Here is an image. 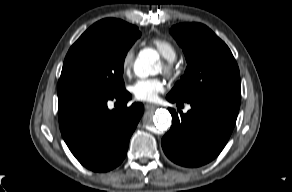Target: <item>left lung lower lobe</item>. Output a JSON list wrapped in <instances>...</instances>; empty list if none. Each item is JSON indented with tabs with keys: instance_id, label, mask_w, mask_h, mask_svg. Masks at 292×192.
Listing matches in <instances>:
<instances>
[{
	"instance_id": "left-lung-lower-lobe-1",
	"label": "left lung lower lobe",
	"mask_w": 292,
	"mask_h": 192,
	"mask_svg": "<svg viewBox=\"0 0 292 192\" xmlns=\"http://www.w3.org/2000/svg\"><path fill=\"white\" fill-rule=\"evenodd\" d=\"M167 100L183 102L167 95ZM186 114L173 108L169 111L173 124L162 138L165 155L184 167H199L215 159L225 147L234 128L240 99L198 98L187 101Z\"/></svg>"
}]
</instances>
